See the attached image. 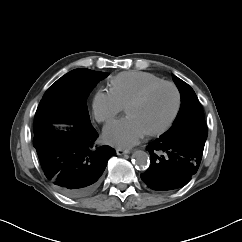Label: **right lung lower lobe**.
<instances>
[{
    "instance_id": "right-lung-lower-lobe-1",
    "label": "right lung lower lobe",
    "mask_w": 242,
    "mask_h": 242,
    "mask_svg": "<svg viewBox=\"0 0 242 242\" xmlns=\"http://www.w3.org/2000/svg\"><path fill=\"white\" fill-rule=\"evenodd\" d=\"M98 133L90 124L54 125L34 131V147L46 178L61 193L80 198L97 188L109 158L110 146H94Z\"/></svg>"
}]
</instances>
